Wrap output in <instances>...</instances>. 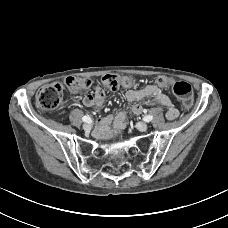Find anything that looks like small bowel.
<instances>
[{
	"instance_id": "obj_1",
	"label": "small bowel",
	"mask_w": 228,
	"mask_h": 228,
	"mask_svg": "<svg viewBox=\"0 0 228 228\" xmlns=\"http://www.w3.org/2000/svg\"><path fill=\"white\" fill-rule=\"evenodd\" d=\"M104 92L100 87H95L92 94H88L83 98V104L97 111L104 102ZM125 98L132 103L131 112L139 115L143 111V107L138 103L143 101L146 105L158 104L166 108V117L170 120L177 118L179 112L170 98L157 85H147L141 89H129L125 93ZM128 112L126 110L117 114H110L98 121L99 131L106 133L113 124L117 130H123L126 127V118Z\"/></svg>"
}]
</instances>
